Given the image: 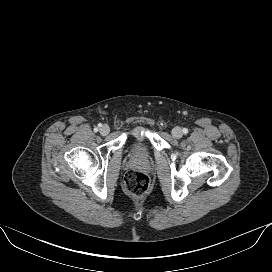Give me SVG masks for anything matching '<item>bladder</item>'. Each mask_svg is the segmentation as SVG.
Returning <instances> with one entry per match:
<instances>
[{"label":"bladder","instance_id":"1","mask_svg":"<svg viewBox=\"0 0 272 272\" xmlns=\"http://www.w3.org/2000/svg\"><path fill=\"white\" fill-rule=\"evenodd\" d=\"M135 152H136L137 154H141V149H140L139 146H137V147L135 148Z\"/></svg>","mask_w":272,"mask_h":272}]
</instances>
